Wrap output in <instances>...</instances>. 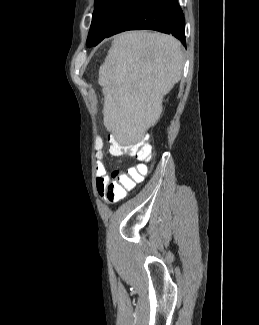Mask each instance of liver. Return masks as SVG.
I'll use <instances>...</instances> for the list:
<instances>
[{
	"mask_svg": "<svg viewBox=\"0 0 259 325\" xmlns=\"http://www.w3.org/2000/svg\"><path fill=\"white\" fill-rule=\"evenodd\" d=\"M181 43L157 32L129 31L117 35L98 83L104 94L103 122L121 144L143 140L159 119L163 98L181 79Z\"/></svg>",
	"mask_w": 259,
	"mask_h": 325,
	"instance_id": "6515ba94",
	"label": "liver"
}]
</instances>
